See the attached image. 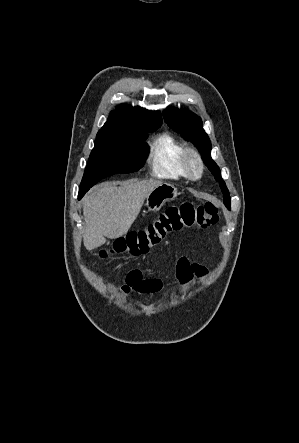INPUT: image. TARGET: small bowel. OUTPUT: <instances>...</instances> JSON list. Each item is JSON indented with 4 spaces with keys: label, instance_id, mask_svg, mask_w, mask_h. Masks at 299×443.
<instances>
[{
    "label": "small bowel",
    "instance_id": "1",
    "mask_svg": "<svg viewBox=\"0 0 299 443\" xmlns=\"http://www.w3.org/2000/svg\"><path fill=\"white\" fill-rule=\"evenodd\" d=\"M205 275V269L197 264H192L187 257L181 256L177 260L176 277L181 287H188L195 277L203 278ZM161 288L162 281L154 274H144L140 270H132L127 275L126 282L122 285L121 291L124 294L157 293Z\"/></svg>",
    "mask_w": 299,
    "mask_h": 443
}]
</instances>
